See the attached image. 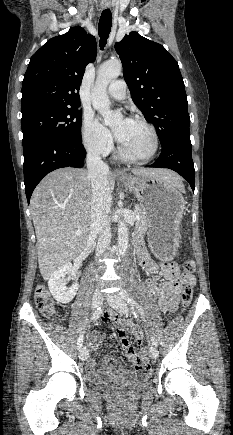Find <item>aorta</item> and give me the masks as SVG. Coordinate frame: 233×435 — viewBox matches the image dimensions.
Returning a JSON list of instances; mask_svg holds the SVG:
<instances>
[{
	"mask_svg": "<svg viewBox=\"0 0 233 435\" xmlns=\"http://www.w3.org/2000/svg\"><path fill=\"white\" fill-rule=\"evenodd\" d=\"M122 71V64L119 60L109 61L101 65L98 70L95 86L92 89V105L104 119L106 125H114L122 119L120 112L110 109V101L107 95V86L117 78ZM128 227L124 220L118 223V251L120 256L126 254L128 248Z\"/></svg>",
	"mask_w": 233,
	"mask_h": 435,
	"instance_id": "obj_1",
	"label": "aorta"
}]
</instances>
